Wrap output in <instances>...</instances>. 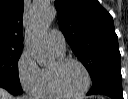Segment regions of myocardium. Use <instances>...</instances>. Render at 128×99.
I'll list each match as a JSON object with an SVG mask.
<instances>
[{"label": "myocardium", "instance_id": "1", "mask_svg": "<svg viewBox=\"0 0 128 99\" xmlns=\"http://www.w3.org/2000/svg\"><path fill=\"white\" fill-rule=\"evenodd\" d=\"M69 63H76L77 65H79L82 70L85 73L86 76V85L84 86V88L77 92V93H70L67 92L66 90H64L59 82V71L66 66ZM50 77H51V82L53 85V88L55 89V91L61 96V97H66V98H79L83 95H85L88 90L91 87L92 84V78H91V74L88 70V68L86 67V65L76 59V58H72V57H62V58H58V60L55 62L54 66L52 68H50Z\"/></svg>", "mask_w": 128, "mask_h": 99}]
</instances>
